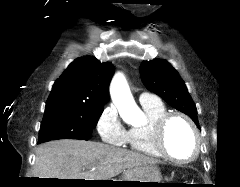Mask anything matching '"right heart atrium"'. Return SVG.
<instances>
[{
    "instance_id": "obj_1",
    "label": "right heart atrium",
    "mask_w": 240,
    "mask_h": 187,
    "mask_svg": "<svg viewBox=\"0 0 240 187\" xmlns=\"http://www.w3.org/2000/svg\"><path fill=\"white\" fill-rule=\"evenodd\" d=\"M95 127L102 142L114 146H124L126 144L127 131L114 106L110 105L102 110Z\"/></svg>"
}]
</instances>
